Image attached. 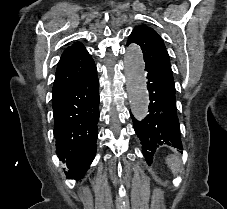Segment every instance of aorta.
<instances>
[{
  "instance_id": "1",
  "label": "aorta",
  "mask_w": 227,
  "mask_h": 209,
  "mask_svg": "<svg viewBox=\"0 0 227 209\" xmlns=\"http://www.w3.org/2000/svg\"><path fill=\"white\" fill-rule=\"evenodd\" d=\"M126 87L130 100L131 112L137 119H143L148 112V92L144 71V58L140 47L130 44L125 58Z\"/></svg>"
}]
</instances>
